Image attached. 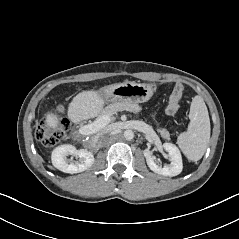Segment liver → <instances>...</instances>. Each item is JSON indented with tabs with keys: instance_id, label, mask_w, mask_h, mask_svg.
Returning <instances> with one entry per match:
<instances>
[{
	"instance_id": "liver-1",
	"label": "liver",
	"mask_w": 239,
	"mask_h": 239,
	"mask_svg": "<svg viewBox=\"0 0 239 239\" xmlns=\"http://www.w3.org/2000/svg\"><path fill=\"white\" fill-rule=\"evenodd\" d=\"M106 101L101 95V91H82L77 94L68 106V118L78 123L83 120L97 117L103 110ZM45 121L49 128L59 127V119L52 113H46Z\"/></svg>"
}]
</instances>
